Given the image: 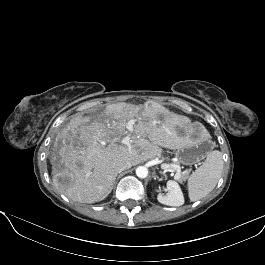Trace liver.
I'll use <instances>...</instances> for the list:
<instances>
[{
    "mask_svg": "<svg viewBox=\"0 0 265 265\" xmlns=\"http://www.w3.org/2000/svg\"><path fill=\"white\" fill-rule=\"evenodd\" d=\"M134 117H137L134 124ZM134 124L131 141L122 143L126 125ZM190 122L186 116L169 112L157 103L140 114L124 102L109 104L103 113L75 116L56 136L52 158L53 183L69 199L80 203L102 201L112 191L117 164L129 160L137 165L160 156L161 147L180 149L189 142L178 129ZM59 156L63 168L55 165Z\"/></svg>",
    "mask_w": 265,
    "mask_h": 265,
    "instance_id": "obj_1",
    "label": "liver"
}]
</instances>
